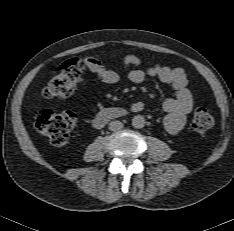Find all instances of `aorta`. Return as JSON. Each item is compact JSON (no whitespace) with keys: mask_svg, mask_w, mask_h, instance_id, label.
I'll use <instances>...</instances> for the list:
<instances>
[{"mask_svg":"<svg viewBox=\"0 0 234 231\" xmlns=\"http://www.w3.org/2000/svg\"><path fill=\"white\" fill-rule=\"evenodd\" d=\"M145 125V119L141 115H136L132 118V126L134 128L140 129L143 128Z\"/></svg>","mask_w":234,"mask_h":231,"instance_id":"1","label":"aorta"}]
</instances>
